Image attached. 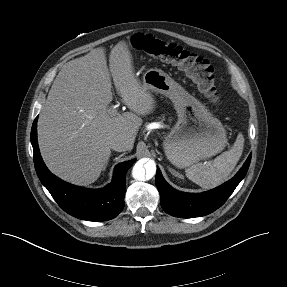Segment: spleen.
I'll list each match as a JSON object with an SVG mask.
<instances>
[{
    "label": "spleen",
    "mask_w": 287,
    "mask_h": 287,
    "mask_svg": "<svg viewBox=\"0 0 287 287\" xmlns=\"http://www.w3.org/2000/svg\"><path fill=\"white\" fill-rule=\"evenodd\" d=\"M244 141L243 134L239 133L230 150L217 156L213 162L194 164L186 170L187 178L205 189L221 185L228 180L237 165L243 152Z\"/></svg>",
    "instance_id": "obj_1"
}]
</instances>
